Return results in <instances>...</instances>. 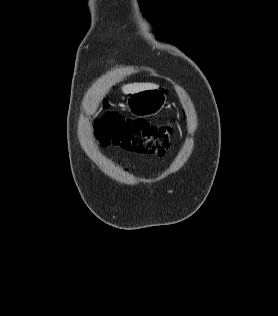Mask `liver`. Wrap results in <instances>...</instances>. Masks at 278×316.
<instances>
[{
	"label": "liver",
	"instance_id": "obj_1",
	"mask_svg": "<svg viewBox=\"0 0 278 316\" xmlns=\"http://www.w3.org/2000/svg\"><path fill=\"white\" fill-rule=\"evenodd\" d=\"M158 85L151 83H134L124 85L122 90L125 94H132L146 89H156Z\"/></svg>",
	"mask_w": 278,
	"mask_h": 316
}]
</instances>
